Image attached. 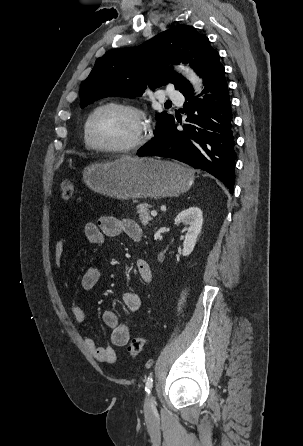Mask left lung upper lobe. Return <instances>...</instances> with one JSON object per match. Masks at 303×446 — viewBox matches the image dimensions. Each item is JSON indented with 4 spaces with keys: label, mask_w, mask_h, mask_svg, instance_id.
<instances>
[{
    "label": "left lung upper lobe",
    "mask_w": 303,
    "mask_h": 446,
    "mask_svg": "<svg viewBox=\"0 0 303 446\" xmlns=\"http://www.w3.org/2000/svg\"><path fill=\"white\" fill-rule=\"evenodd\" d=\"M218 53L209 39L192 26L177 25L138 47L110 50L98 58L88 78L80 87L81 106L108 96H141L149 86L173 83L180 92L191 84L168 65L189 63L202 75L212 57ZM166 113L156 114V131L173 120Z\"/></svg>",
    "instance_id": "1"
}]
</instances>
